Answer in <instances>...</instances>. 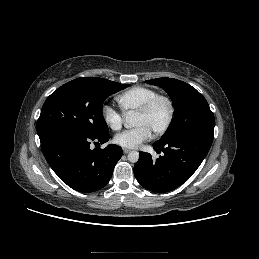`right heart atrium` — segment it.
<instances>
[{
    "label": "right heart atrium",
    "instance_id": "d8ad5b80",
    "mask_svg": "<svg viewBox=\"0 0 259 259\" xmlns=\"http://www.w3.org/2000/svg\"><path fill=\"white\" fill-rule=\"evenodd\" d=\"M101 116L105 124L112 130L117 131L122 128L124 117L111 105L104 104L101 108Z\"/></svg>",
    "mask_w": 259,
    "mask_h": 259
}]
</instances>
